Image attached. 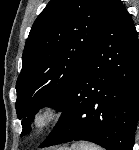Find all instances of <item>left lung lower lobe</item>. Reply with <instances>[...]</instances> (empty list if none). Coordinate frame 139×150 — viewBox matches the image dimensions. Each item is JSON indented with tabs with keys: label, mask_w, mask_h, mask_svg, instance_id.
Wrapping results in <instances>:
<instances>
[{
	"label": "left lung lower lobe",
	"mask_w": 139,
	"mask_h": 150,
	"mask_svg": "<svg viewBox=\"0 0 139 150\" xmlns=\"http://www.w3.org/2000/svg\"><path fill=\"white\" fill-rule=\"evenodd\" d=\"M40 148L86 140L107 150H132L139 115V40L120 0L59 109Z\"/></svg>",
	"instance_id": "0a47b994"
}]
</instances>
